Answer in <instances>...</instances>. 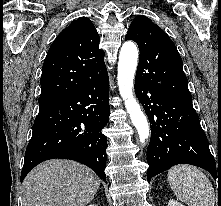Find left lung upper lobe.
Wrapping results in <instances>:
<instances>
[{
    "label": "left lung upper lobe",
    "mask_w": 221,
    "mask_h": 206,
    "mask_svg": "<svg viewBox=\"0 0 221 206\" xmlns=\"http://www.w3.org/2000/svg\"><path fill=\"white\" fill-rule=\"evenodd\" d=\"M125 39L135 41L140 50L135 82L171 99L192 102L181 56L158 25L145 16H137Z\"/></svg>",
    "instance_id": "left-lung-upper-lobe-1"
}]
</instances>
